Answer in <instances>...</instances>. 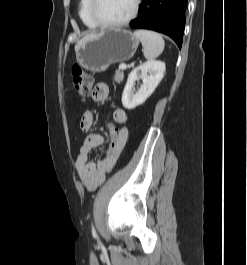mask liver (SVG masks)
I'll list each match as a JSON object with an SVG mask.
<instances>
[{
	"label": "liver",
	"instance_id": "obj_1",
	"mask_svg": "<svg viewBox=\"0 0 247 265\" xmlns=\"http://www.w3.org/2000/svg\"><path fill=\"white\" fill-rule=\"evenodd\" d=\"M97 34H89V35H87V36H85L84 38H82L79 42H77V44H76V46H75V49L77 48V46L80 44V43H82L83 41H85V40H87V39H89V38H92V37H94V36H96Z\"/></svg>",
	"mask_w": 247,
	"mask_h": 265
}]
</instances>
